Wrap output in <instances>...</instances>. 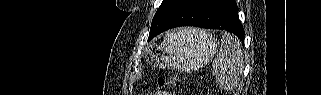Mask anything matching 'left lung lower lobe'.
<instances>
[{
	"label": "left lung lower lobe",
	"instance_id": "obj_1",
	"mask_svg": "<svg viewBox=\"0 0 321 95\" xmlns=\"http://www.w3.org/2000/svg\"><path fill=\"white\" fill-rule=\"evenodd\" d=\"M178 26L227 30L244 44V29L234 0H174L148 40Z\"/></svg>",
	"mask_w": 321,
	"mask_h": 95
}]
</instances>
